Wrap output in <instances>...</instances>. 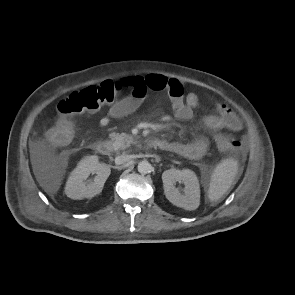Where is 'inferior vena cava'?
I'll return each instance as SVG.
<instances>
[{
  "label": "inferior vena cava",
  "instance_id": "obj_1",
  "mask_svg": "<svg viewBox=\"0 0 295 295\" xmlns=\"http://www.w3.org/2000/svg\"><path fill=\"white\" fill-rule=\"evenodd\" d=\"M130 160V156L129 155H120V156H117L115 158V164L116 165H121V164H124L125 162L129 161Z\"/></svg>",
  "mask_w": 295,
  "mask_h": 295
}]
</instances>
